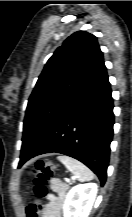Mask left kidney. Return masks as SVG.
<instances>
[{
    "instance_id": "obj_1",
    "label": "left kidney",
    "mask_w": 132,
    "mask_h": 217,
    "mask_svg": "<svg viewBox=\"0 0 132 217\" xmlns=\"http://www.w3.org/2000/svg\"><path fill=\"white\" fill-rule=\"evenodd\" d=\"M97 191L95 183L79 184L71 188L63 206L64 217H88Z\"/></svg>"
}]
</instances>
